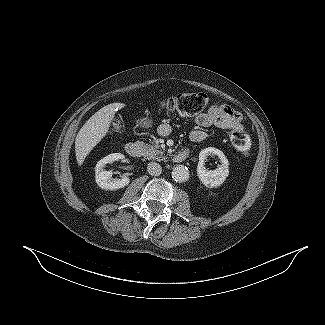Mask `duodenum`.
<instances>
[{"instance_id":"410a0bca","label":"duodenum","mask_w":325,"mask_h":325,"mask_svg":"<svg viewBox=\"0 0 325 325\" xmlns=\"http://www.w3.org/2000/svg\"><path fill=\"white\" fill-rule=\"evenodd\" d=\"M125 150L128 155L132 157H139L142 153L141 145L137 142H129L125 146ZM189 157V150L184 149L181 152L173 156V161L176 163H181Z\"/></svg>"}]
</instances>
